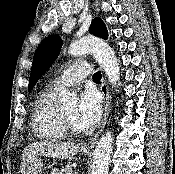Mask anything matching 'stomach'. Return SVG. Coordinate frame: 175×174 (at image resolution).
I'll use <instances>...</instances> for the list:
<instances>
[{"instance_id": "1", "label": "stomach", "mask_w": 175, "mask_h": 174, "mask_svg": "<svg viewBox=\"0 0 175 174\" xmlns=\"http://www.w3.org/2000/svg\"><path fill=\"white\" fill-rule=\"evenodd\" d=\"M83 153L89 154V151H83ZM42 168H43L42 159H40L39 157H34L33 159L22 162L21 172L22 174H41Z\"/></svg>"}]
</instances>
